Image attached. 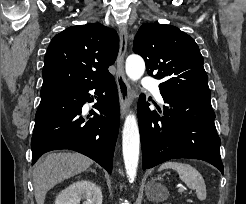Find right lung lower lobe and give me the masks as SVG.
Instances as JSON below:
<instances>
[{
  "instance_id": "right-lung-lower-lobe-1",
  "label": "right lung lower lobe",
  "mask_w": 246,
  "mask_h": 204,
  "mask_svg": "<svg viewBox=\"0 0 246 204\" xmlns=\"http://www.w3.org/2000/svg\"><path fill=\"white\" fill-rule=\"evenodd\" d=\"M90 90H95L97 103L95 110L86 115L83 105L94 101ZM118 130L119 102L113 76L42 91L31 140L32 164L45 152L70 149L90 157L111 173Z\"/></svg>"
}]
</instances>
